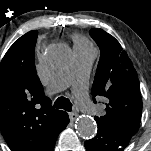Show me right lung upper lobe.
<instances>
[{"instance_id": "right-lung-upper-lobe-1", "label": "right lung upper lobe", "mask_w": 151, "mask_h": 151, "mask_svg": "<svg viewBox=\"0 0 151 151\" xmlns=\"http://www.w3.org/2000/svg\"><path fill=\"white\" fill-rule=\"evenodd\" d=\"M38 32L20 37L0 64V131L12 151H53L68 118L44 95L34 63Z\"/></svg>"}]
</instances>
